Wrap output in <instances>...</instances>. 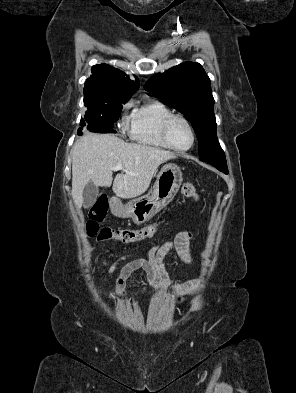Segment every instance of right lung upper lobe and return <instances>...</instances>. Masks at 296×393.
I'll return each instance as SVG.
<instances>
[{
  "label": "right lung upper lobe",
  "instance_id": "cb5924a9",
  "mask_svg": "<svg viewBox=\"0 0 296 393\" xmlns=\"http://www.w3.org/2000/svg\"><path fill=\"white\" fill-rule=\"evenodd\" d=\"M125 73L107 64L92 67V75L85 81L84 101L130 99L139 88V80H130Z\"/></svg>",
  "mask_w": 296,
  "mask_h": 393
}]
</instances>
